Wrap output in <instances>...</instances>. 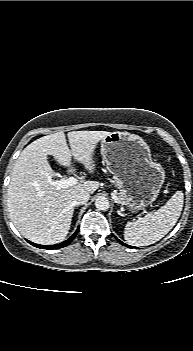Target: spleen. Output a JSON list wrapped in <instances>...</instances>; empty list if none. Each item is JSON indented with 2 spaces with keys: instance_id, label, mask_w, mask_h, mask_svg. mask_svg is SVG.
<instances>
[{
  "instance_id": "1",
  "label": "spleen",
  "mask_w": 193,
  "mask_h": 351,
  "mask_svg": "<svg viewBox=\"0 0 193 351\" xmlns=\"http://www.w3.org/2000/svg\"><path fill=\"white\" fill-rule=\"evenodd\" d=\"M184 195L177 191L157 211L134 222H127L124 239L135 246H147L162 239L176 224L183 208Z\"/></svg>"
}]
</instances>
